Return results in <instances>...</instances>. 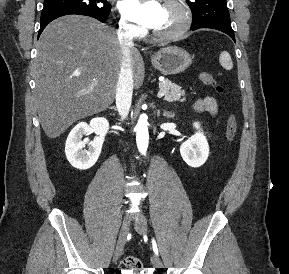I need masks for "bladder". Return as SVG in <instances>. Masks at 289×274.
Listing matches in <instances>:
<instances>
[{
	"mask_svg": "<svg viewBox=\"0 0 289 274\" xmlns=\"http://www.w3.org/2000/svg\"><path fill=\"white\" fill-rule=\"evenodd\" d=\"M121 274H141L139 271H123Z\"/></svg>",
	"mask_w": 289,
	"mask_h": 274,
	"instance_id": "1",
	"label": "bladder"
}]
</instances>
